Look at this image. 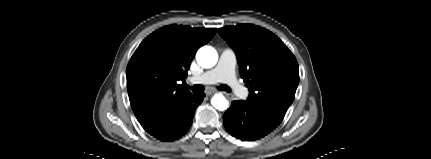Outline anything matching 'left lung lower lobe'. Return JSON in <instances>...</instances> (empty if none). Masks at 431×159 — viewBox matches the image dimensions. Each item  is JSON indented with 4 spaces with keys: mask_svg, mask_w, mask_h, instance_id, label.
Listing matches in <instances>:
<instances>
[{
    "mask_svg": "<svg viewBox=\"0 0 431 159\" xmlns=\"http://www.w3.org/2000/svg\"><path fill=\"white\" fill-rule=\"evenodd\" d=\"M284 116L246 101H233L223 115L226 130L237 139L253 141L273 131Z\"/></svg>",
    "mask_w": 431,
    "mask_h": 159,
    "instance_id": "left-lung-lower-lobe-1",
    "label": "left lung lower lobe"
}]
</instances>
